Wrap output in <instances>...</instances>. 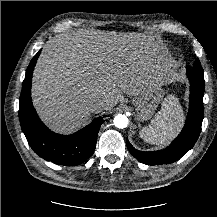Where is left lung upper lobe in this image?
Wrapping results in <instances>:
<instances>
[{
  "label": "left lung upper lobe",
  "mask_w": 217,
  "mask_h": 217,
  "mask_svg": "<svg viewBox=\"0 0 217 217\" xmlns=\"http://www.w3.org/2000/svg\"><path fill=\"white\" fill-rule=\"evenodd\" d=\"M191 69L198 79L204 80V71H203V68L200 64L199 59H196L194 65H193V68H191Z\"/></svg>",
  "instance_id": "obj_1"
}]
</instances>
